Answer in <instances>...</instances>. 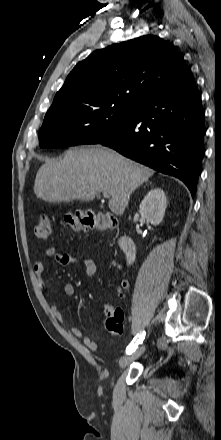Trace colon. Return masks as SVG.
<instances>
[{
	"instance_id": "5ec220e1",
	"label": "colon",
	"mask_w": 221,
	"mask_h": 440,
	"mask_svg": "<svg viewBox=\"0 0 221 440\" xmlns=\"http://www.w3.org/2000/svg\"><path fill=\"white\" fill-rule=\"evenodd\" d=\"M62 223L64 227L72 231L99 230L106 231L117 225V218L112 214L98 213L89 209H76L64 214ZM35 236L39 239H47L51 234V218L41 216L34 227ZM106 316V328L112 337H116L123 330V311L120 308L107 304L104 306Z\"/></svg>"
}]
</instances>
